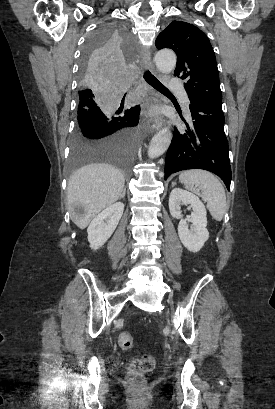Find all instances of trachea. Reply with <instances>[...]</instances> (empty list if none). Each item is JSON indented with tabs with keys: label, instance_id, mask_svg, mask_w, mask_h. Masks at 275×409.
<instances>
[{
	"label": "trachea",
	"instance_id": "trachea-1",
	"mask_svg": "<svg viewBox=\"0 0 275 409\" xmlns=\"http://www.w3.org/2000/svg\"><path fill=\"white\" fill-rule=\"evenodd\" d=\"M144 79L157 90L169 92L168 88H166L161 82H159V80L154 77V75H152V73H150L149 71L144 73Z\"/></svg>",
	"mask_w": 275,
	"mask_h": 409
}]
</instances>
